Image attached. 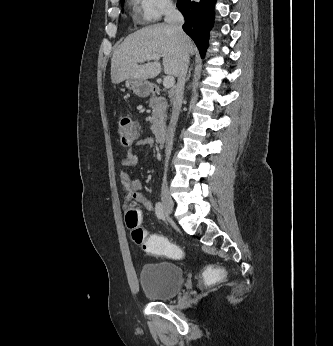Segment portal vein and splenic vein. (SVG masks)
<instances>
[{
  "mask_svg": "<svg viewBox=\"0 0 333 346\" xmlns=\"http://www.w3.org/2000/svg\"><path fill=\"white\" fill-rule=\"evenodd\" d=\"M160 57H161V55H159V54H153V55L147 56L146 58L142 59L141 62L150 61V60L158 61L160 59ZM174 83H175L174 77L173 76H167L164 78L163 86L166 89H170L174 86Z\"/></svg>",
  "mask_w": 333,
  "mask_h": 346,
  "instance_id": "obj_1",
  "label": "portal vein and splenic vein"
}]
</instances>
